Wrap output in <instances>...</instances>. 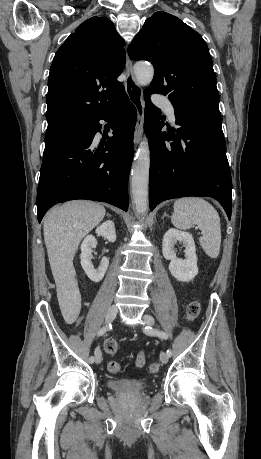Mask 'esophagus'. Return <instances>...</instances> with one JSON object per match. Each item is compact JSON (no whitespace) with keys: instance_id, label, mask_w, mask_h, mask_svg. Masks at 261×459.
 I'll use <instances>...</instances> for the list:
<instances>
[{"instance_id":"esophagus-1","label":"esophagus","mask_w":261,"mask_h":459,"mask_svg":"<svg viewBox=\"0 0 261 459\" xmlns=\"http://www.w3.org/2000/svg\"><path fill=\"white\" fill-rule=\"evenodd\" d=\"M125 70H126V75H127V78L125 81L126 91H127L130 101L134 104L136 111H137V122H136V127H135V132H134V144L135 146H137L141 140L142 133H143L145 104L143 100V90L141 86L138 84V82L136 81V78L133 72L132 61L130 60L128 55L126 56Z\"/></svg>"}]
</instances>
